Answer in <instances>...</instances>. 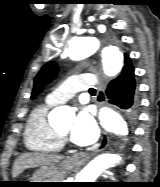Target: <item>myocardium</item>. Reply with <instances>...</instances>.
<instances>
[{"label":"myocardium","mask_w":160,"mask_h":187,"mask_svg":"<svg viewBox=\"0 0 160 187\" xmlns=\"http://www.w3.org/2000/svg\"><path fill=\"white\" fill-rule=\"evenodd\" d=\"M57 134L63 142H67V136L66 135L62 134L60 131H57Z\"/></svg>","instance_id":"f54148a6"}]
</instances>
